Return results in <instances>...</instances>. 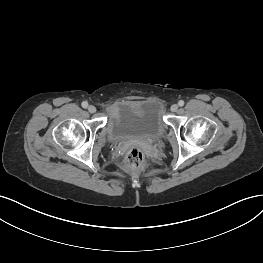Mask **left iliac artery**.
Returning a JSON list of instances; mask_svg holds the SVG:
<instances>
[{
    "label": "left iliac artery",
    "instance_id": "44dca946",
    "mask_svg": "<svg viewBox=\"0 0 263 263\" xmlns=\"http://www.w3.org/2000/svg\"><path fill=\"white\" fill-rule=\"evenodd\" d=\"M178 105L181 106V107L184 106V101H183V100H180V101L178 102Z\"/></svg>",
    "mask_w": 263,
    "mask_h": 263
}]
</instances>
